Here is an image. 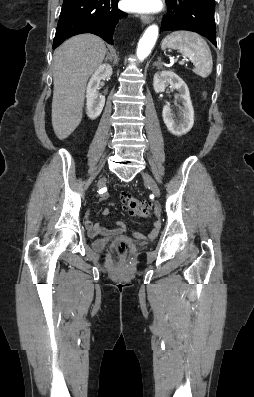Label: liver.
Listing matches in <instances>:
<instances>
[{"instance_id": "1", "label": "liver", "mask_w": 254, "mask_h": 397, "mask_svg": "<svg viewBox=\"0 0 254 397\" xmlns=\"http://www.w3.org/2000/svg\"><path fill=\"white\" fill-rule=\"evenodd\" d=\"M105 53L103 40L92 34L74 36L55 50L52 126L59 140L70 136L80 124L86 83Z\"/></svg>"}]
</instances>
